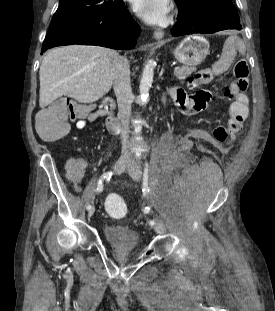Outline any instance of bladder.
<instances>
[{
	"mask_svg": "<svg viewBox=\"0 0 275 311\" xmlns=\"http://www.w3.org/2000/svg\"><path fill=\"white\" fill-rule=\"evenodd\" d=\"M103 233L109 244L116 248L131 249L139 241L137 230L126 224H104Z\"/></svg>",
	"mask_w": 275,
	"mask_h": 311,
	"instance_id": "1",
	"label": "bladder"
}]
</instances>
